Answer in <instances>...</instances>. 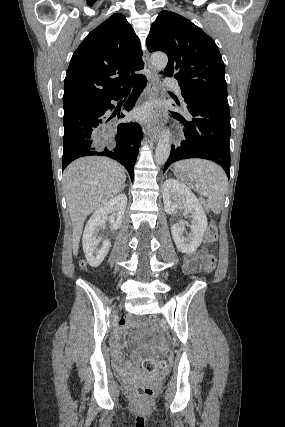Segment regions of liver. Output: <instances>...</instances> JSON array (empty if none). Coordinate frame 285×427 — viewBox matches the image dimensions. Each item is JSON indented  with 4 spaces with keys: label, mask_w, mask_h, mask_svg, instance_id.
Returning a JSON list of instances; mask_svg holds the SVG:
<instances>
[{
    "label": "liver",
    "mask_w": 285,
    "mask_h": 427,
    "mask_svg": "<svg viewBox=\"0 0 285 427\" xmlns=\"http://www.w3.org/2000/svg\"><path fill=\"white\" fill-rule=\"evenodd\" d=\"M125 181L124 167L107 157L80 158L64 170L63 186L72 220L75 256L87 216L114 198Z\"/></svg>",
    "instance_id": "liver-1"
}]
</instances>
